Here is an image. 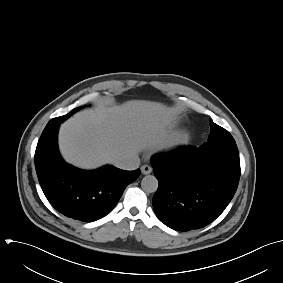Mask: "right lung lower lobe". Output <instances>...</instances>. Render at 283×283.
<instances>
[{"label": "right lung lower lobe", "instance_id": "98d812e1", "mask_svg": "<svg viewBox=\"0 0 283 283\" xmlns=\"http://www.w3.org/2000/svg\"><path fill=\"white\" fill-rule=\"evenodd\" d=\"M60 123L45 127L35 151V168L51 205L67 217L92 222L106 216L140 170L124 171L107 165L85 171L64 162L57 145Z\"/></svg>", "mask_w": 283, "mask_h": 283}]
</instances>
